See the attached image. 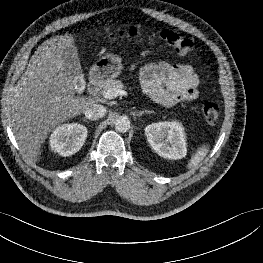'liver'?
I'll use <instances>...</instances> for the list:
<instances>
[{"mask_svg": "<svg viewBox=\"0 0 263 263\" xmlns=\"http://www.w3.org/2000/svg\"><path fill=\"white\" fill-rule=\"evenodd\" d=\"M72 35L46 40L31 57L11 100L14 136L24 156L36 162L49 132L80 115L93 103L75 97L74 80L63 65L67 49L77 51Z\"/></svg>", "mask_w": 263, "mask_h": 263, "instance_id": "1", "label": "liver"}]
</instances>
